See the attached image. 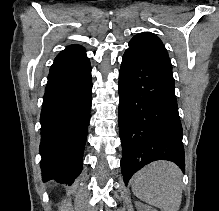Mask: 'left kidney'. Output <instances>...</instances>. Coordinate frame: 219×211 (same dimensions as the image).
I'll return each instance as SVG.
<instances>
[{
  "label": "left kidney",
  "mask_w": 219,
  "mask_h": 211,
  "mask_svg": "<svg viewBox=\"0 0 219 211\" xmlns=\"http://www.w3.org/2000/svg\"><path fill=\"white\" fill-rule=\"evenodd\" d=\"M143 209H146V211H157L154 207H143Z\"/></svg>",
  "instance_id": "1"
}]
</instances>
